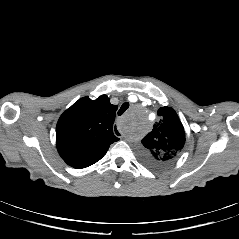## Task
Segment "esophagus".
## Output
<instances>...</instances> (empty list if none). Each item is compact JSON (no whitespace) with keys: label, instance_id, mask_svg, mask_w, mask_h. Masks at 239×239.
I'll list each match as a JSON object with an SVG mask.
<instances>
[{"label":"esophagus","instance_id":"34e87169","mask_svg":"<svg viewBox=\"0 0 239 239\" xmlns=\"http://www.w3.org/2000/svg\"><path fill=\"white\" fill-rule=\"evenodd\" d=\"M113 129H114V130H113V133H114L115 136H117V137L121 136L122 133H121V131L119 130V129H120L119 125H117V124L114 125Z\"/></svg>","mask_w":239,"mask_h":239}]
</instances>
